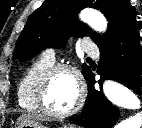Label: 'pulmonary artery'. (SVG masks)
Wrapping results in <instances>:
<instances>
[{
  "label": "pulmonary artery",
  "instance_id": "e3ab8cb5",
  "mask_svg": "<svg viewBox=\"0 0 142 128\" xmlns=\"http://www.w3.org/2000/svg\"><path fill=\"white\" fill-rule=\"evenodd\" d=\"M83 51L87 54V55H90V56H98L99 54V50L97 48V46L92 43L91 41H88L86 40L84 43H83ZM43 56H45L46 58L52 60V61H55V52L53 49H46L44 52H43Z\"/></svg>",
  "mask_w": 142,
  "mask_h": 128
}]
</instances>
